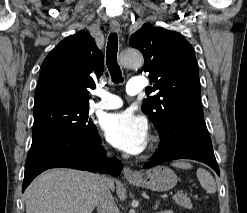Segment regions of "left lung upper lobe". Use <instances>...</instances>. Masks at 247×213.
<instances>
[{
	"instance_id": "1",
	"label": "left lung upper lobe",
	"mask_w": 247,
	"mask_h": 213,
	"mask_svg": "<svg viewBox=\"0 0 247 213\" xmlns=\"http://www.w3.org/2000/svg\"><path fill=\"white\" fill-rule=\"evenodd\" d=\"M141 51L153 87L146 93L141 107L159 133L169 130L178 118L204 119L201 108L199 70L194 50L183 35L144 24L129 41Z\"/></svg>"
}]
</instances>
